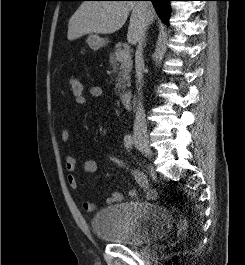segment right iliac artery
<instances>
[{"mask_svg":"<svg viewBox=\"0 0 245 265\" xmlns=\"http://www.w3.org/2000/svg\"><path fill=\"white\" fill-rule=\"evenodd\" d=\"M124 145L127 149H131L133 146V137L131 136V134H127L124 137Z\"/></svg>","mask_w":245,"mask_h":265,"instance_id":"obj_1","label":"right iliac artery"}]
</instances>
